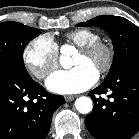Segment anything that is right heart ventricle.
Masks as SVG:
<instances>
[{
	"label": "right heart ventricle",
	"instance_id": "e07e8e85",
	"mask_svg": "<svg viewBox=\"0 0 139 139\" xmlns=\"http://www.w3.org/2000/svg\"><path fill=\"white\" fill-rule=\"evenodd\" d=\"M99 39L100 35L96 31L87 28L75 29L65 34V40L76 47H81Z\"/></svg>",
	"mask_w": 139,
	"mask_h": 139
}]
</instances>
